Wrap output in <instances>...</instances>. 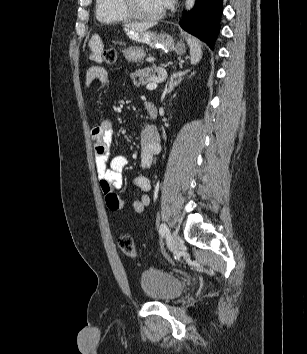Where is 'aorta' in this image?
<instances>
[{"label":"aorta","mask_w":307,"mask_h":354,"mask_svg":"<svg viewBox=\"0 0 307 354\" xmlns=\"http://www.w3.org/2000/svg\"><path fill=\"white\" fill-rule=\"evenodd\" d=\"M196 0H186L185 1V8L186 10H191L195 4Z\"/></svg>","instance_id":"obj_1"}]
</instances>
